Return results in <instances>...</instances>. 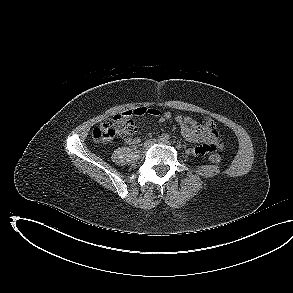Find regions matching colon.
I'll list each match as a JSON object with an SVG mask.
<instances>
[{
	"mask_svg": "<svg viewBox=\"0 0 293 293\" xmlns=\"http://www.w3.org/2000/svg\"><path fill=\"white\" fill-rule=\"evenodd\" d=\"M136 130L137 127L133 120L124 115H115L103 122L100 126L94 128L92 136L96 141H105L117 136H130L134 134ZM199 152L201 154H207L208 149L201 147ZM209 159L216 164L220 162V157L217 154H211Z\"/></svg>",
	"mask_w": 293,
	"mask_h": 293,
	"instance_id": "obj_1",
	"label": "colon"
}]
</instances>
